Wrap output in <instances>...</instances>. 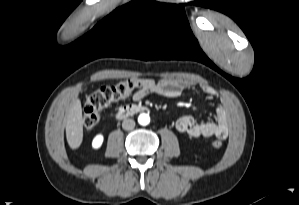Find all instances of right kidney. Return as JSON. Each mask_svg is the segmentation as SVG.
<instances>
[{
  "instance_id": "1",
  "label": "right kidney",
  "mask_w": 299,
  "mask_h": 205,
  "mask_svg": "<svg viewBox=\"0 0 299 205\" xmlns=\"http://www.w3.org/2000/svg\"><path fill=\"white\" fill-rule=\"evenodd\" d=\"M103 140H104L103 135L97 134L92 141V147L94 149H99L102 146Z\"/></svg>"
}]
</instances>
